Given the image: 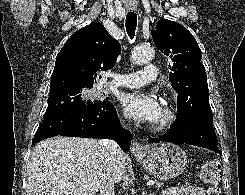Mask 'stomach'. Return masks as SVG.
I'll return each mask as SVG.
<instances>
[{
    "instance_id": "obj_1",
    "label": "stomach",
    "mask_w": 245,
    "mask_h": 195,
    "mask_svg": "<svg viewBox=\"0 0 245 195\" xmlns=\"http://www.w3.org/2000/svg\"><path fill=\"white\" fill-rule=\"evenodd\" d=\"M135 158L152 176L168 180L180 175L187 167L185 152L174 144L160 143L144 146Z\"/></svg>"
}]
</instances>
